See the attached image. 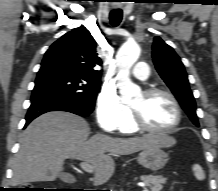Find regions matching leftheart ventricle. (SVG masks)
I'll return each instance as SVG.
<instances>
[{
  "mask_svg": "<svg viewBox=\"0 0 218 191\" xmlns=\"http://www.w3.org/2000/svg\"><path fill=\"white\" fill-rule=\"evenodd\" d=\"M131 107L140 112L145 122L153 128H167L176 120L173 104L163 95L148 98L142 93Z\"/></svg>",
  "mask_w": 218,
  "mask_h": 191,
  "instance_id": "b2bd125f",
  "label": "left heart ventricle"
}]
</instances>
